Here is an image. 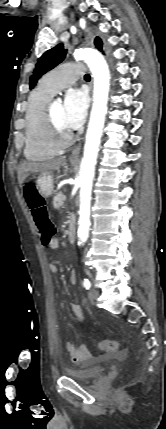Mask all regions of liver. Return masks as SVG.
Wrapping results in <instances>:
<instances>
[{"label":"liver","instance_id":"obj_1","mask_svg":"<svg viewBox=\"0 0 166 429\" xmlns=\"http://www.w3.org/2000/svg\"><path fill=\"white\" fill-rule=\"evenodd\" d=\"M65 163V157L50 160L48 162H24L18 168V182L20 186L24 180L30 175L35 173L51 174L53 170H58L60 166Z\"/></svg>","mask_w":166,"mask_h":429}]
</instances>
